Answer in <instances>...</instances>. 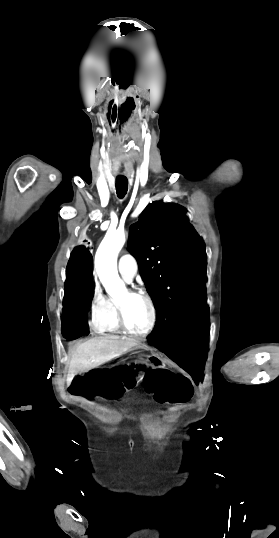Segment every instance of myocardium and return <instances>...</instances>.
Here are the masks:
<instances>
[{"mask_svg":"<svg viewBox=\"0 0 279 538\" xmlns=\"http://www.w3.org/2000/svg\"><path fill=\"white\" fill-rule=\"evenodd\" d=\"M107 225L108 223L104 222L100 225V227H105ZM126 292L130 297H138L146 301V303L148 304L150 308V322H149L148 327L144 331L142 332L133 331L128 326L127 321H126L125 301L118 298L117 299V315H118V321H119L120 327L126 334L130 335L131 337L138 338V339L146 338L153 332V330L156 327L157 311H156L155 303L152 297L144 290H141V289L136 290V289L127 288Z\"/></svg>","mask_w":279,"mask_h":538,"instance_id":"obj_1","label":"myocardium"}]
</instances>
